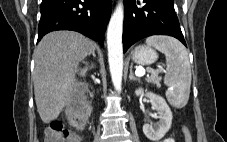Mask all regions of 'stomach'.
<instances>
[{"mask_svg": "<svg viewBox=\"0 0 227 142\" xmlns=\"http://www.w3.org/2000/svg\"><path fill=\"white\" fill-rule=\"evenodd\" d=\"M132 60L139 65H149L155 62L158 55L154 49L149 46H137L131 51Z\"/></svg>", "mask_w": 227, "mask_h": 142, "instance_id": "obj_1", "label": "stomach"}]
</instances>
